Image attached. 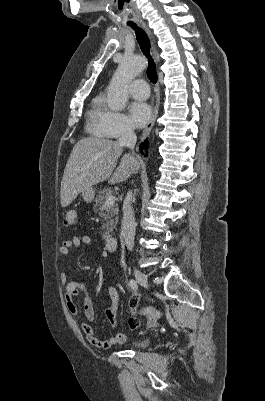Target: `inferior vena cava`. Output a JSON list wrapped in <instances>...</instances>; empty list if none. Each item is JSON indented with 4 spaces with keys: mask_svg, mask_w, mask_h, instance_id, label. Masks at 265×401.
I'll list each match as a JSON object with an SVG mask.
<instances>
[{
    "mask_svg": "<svg viewBox=\"0 0 265 401\" xmlns=\"http://www.w3.org/2000/svg\"><path fill=\"white\" fill-rule=\"evenodd\" d=\"M137 136L134 132L132 124H124L122 134L118 140L121 146H128V148H134L136 144ZM132 201V190H128L127 196L123 203V221H122V233L124 243L128 251H132L134 247V237H135V219L134 211L131 207Z\"/></svg>",
    "mask_w": 265,
    "mask_h": 401,
    "instance_id": "602c4592",
    "label": "inferior vena cava"
}]
</instances>
